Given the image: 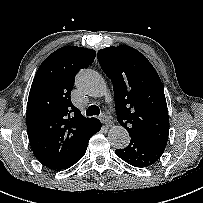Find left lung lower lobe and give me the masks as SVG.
<instances>
[{
	"instance_id": "0a47b994",
	"label": "left lung lower lobe",
	"mask_w": 203,
	"mask_h": 203,
	"mask_svg": "<svg viewBox=\"0 0 203 203\" xmlns=\"http://www.w3.org/2000/svg\"><path fill=\"white\" fill-rule=\"evenodd\" d=\"M129 145L124 149H116L115 153L134 167H148L161 157L165 147L155 145L140 136L132 135Z\"/></svg>"
}]
</instances>
